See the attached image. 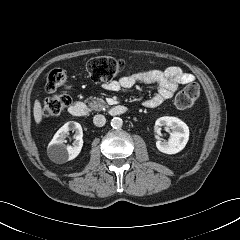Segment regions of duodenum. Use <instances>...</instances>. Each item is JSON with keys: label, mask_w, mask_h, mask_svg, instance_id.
Returning <instances> with one entry per match:
<instances>
[{"label": "duodenum", "mask_w": 240, "mask_h": 240, "mask_svg": "<svg viewBox=\"0 0 240 240\" xmlns=\"http://www.w3.org/2000/svg\"><path fill=\"white\" fill-rule=\"evenodd\" d=\"M87 106L81 101H75L71 104L69 112L74 117H84L87 114ZM128 111L124 105H115L108 109V113L112 116L122 115Z\"/></svg>", "instance_id": "410a0bca"}]
</instances>
